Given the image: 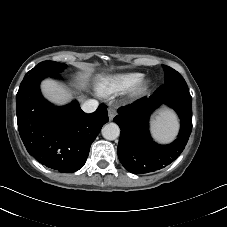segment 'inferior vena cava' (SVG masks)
I'll return each mask as SVG.
<instances>
[{"label": "inferior vena cava", "instance_id": "obj_1", "mask_svg": "<svg viewBox=\"0 0 227 227\" xmlns=\"http://www.w3.org/2000/svg\"><path fill=\"white\" fill-rule=\"evenodd\" d=\"M98 107V101L97 100H86L83 104H82V110L86 113H92L94 112Z\"/></svg>", "mask_w": 227, "mask_h": 227}]
</instances>
